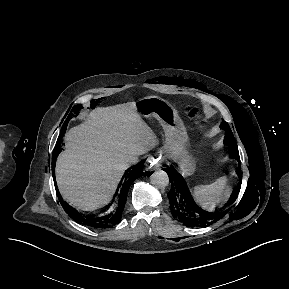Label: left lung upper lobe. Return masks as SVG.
I'll use <instances>...</instances> for the list:
<instances>
[{
    "label": "left lung upper lobe",
    "instance_id": "obj_1",
    "mask_svg": "<svg viewBox=\"0 0 289 289\" xmlns=\"http://www.w3.org/2000/svg\"><path fill=\"white\" fill-rule=\"evenodd\" d=\"M220 128L225 130V132H226V136L224 138V143L231 147L230 157L240 161L238 147H237L235 138L233 136V133H232L228 123L225 121H222Z\"/></svg>",
    "mask_w": 289,
    "mask_h": 289
}]
</instances>
